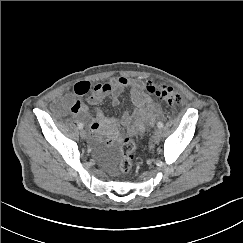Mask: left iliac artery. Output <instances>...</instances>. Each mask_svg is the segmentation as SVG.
Wrapping results in <instances>:
<instances>
[{
    "instance_id": "44dca946",
    "label": "left iliac artery",
    "mask_w": 243,
    "mask_h": 243,
    "mask_svg": "<svg viewBox=\"0 0 243 243\" xmlns=\"http://www.w3.org/2000/svg\"><path fill=\"white\" fill-rule=\"evenodd\" d=\"M157 127H158V128H162V127H163V123H162V122H158V123H157Z\"/></svg>"
}]
</instances>
